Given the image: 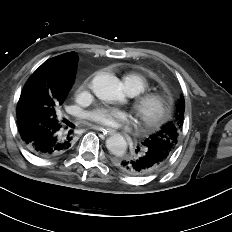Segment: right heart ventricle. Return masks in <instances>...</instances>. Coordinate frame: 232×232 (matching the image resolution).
I'll return each mask as SVG.
<instances>
[{"label":"right heart ventricle","instance_id":"right-heart-ventricle-1","mask_svg":"<svg viewBox=\"0 0 232 232\" xmlns=\"http://www.w3.org/2000/svg\"><path fill=\"white\" fill-rule=\"evenodd\" d=\"M124 87L133 95L140 94L149 88V81L143 75L137 73H129L123 77Z\"/></svg>","mask_w":232,"mask_h":232}]
</instances>
